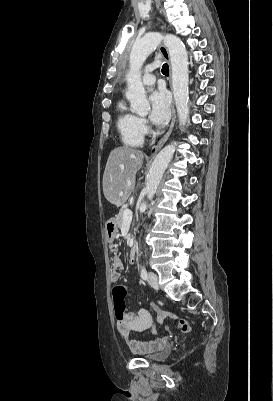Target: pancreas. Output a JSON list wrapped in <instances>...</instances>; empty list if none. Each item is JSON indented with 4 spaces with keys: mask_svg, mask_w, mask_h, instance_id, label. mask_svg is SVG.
I'll list each match as a JSON object with an SVG mask.
<instances>
[{
    "mask_svg": "<svg viewBox=\"0 0 273 401\" xmlns=\"http://www.w3.org/2000/svg\"><path fill=\"white\" fill-rule=\"evenodd\" d=\"M125 209H127V207H125ZM125 209H121V211H119V215H116V225H117V227H119V229H122L123 213H124Z\"/></svg>",
    "mask_w": 273,
    "mask_h": 401,
    "instance_id": "pancreas-1",
    "label": "pancreas"
}]
</instances>
